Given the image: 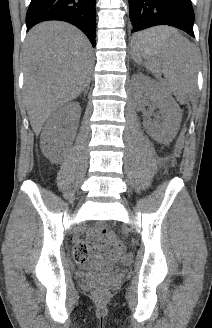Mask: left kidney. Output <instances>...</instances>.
Instances as JSON below:
<instances>
[{
	"instance_id": "1",
	"label": "left kidney",
	"mask_w": 212,
	"mask_h": 328,
	"mask_svg": "<svg viewBox=\"0 0 212 328\" xmlns=\"http://www.w3.org/2000/svg\"><path fill=\"white\" fill-rule=\"evenodd\" d=\"M138 86L136 105L138 110L143 109V96L151 98L160 108L163 122L159 125L145 121L143 123L147 132L158 142L171 141L180 126L181 110L173 97L155 80L143 76H135Z\"/></svg>"
}]
</instances>
